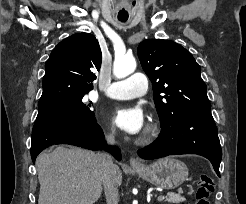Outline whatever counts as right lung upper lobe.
<instances>
[{
	"label": "right lung upper lobe",
	"mask_w": 246,
	"mask_h": 204,
	"mask_svg": "<svg viewBox=\"0 0 246 204\" xmlns=\"http://www.w3.org/2000/svg\"><path fill=\"white\" fill-rule=\"evenodd\" d=\"M101 58L99 43L92 34L77 33L61 41L46 61L40 101L67 93H88Z\"/></svg>",
	"instance_id": "1"
}]
</instances>
